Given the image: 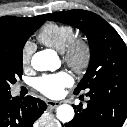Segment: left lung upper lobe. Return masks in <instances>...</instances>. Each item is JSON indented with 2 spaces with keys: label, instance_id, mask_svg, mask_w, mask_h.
<instances>
[{
  "label": "left lung upper lobe",
  "instance_id": "obj_1",
  "mask_svg": "<svg viewBox=\"0 0 127 127\" xmlns=\"http://www.w3.org/2000/svg\"><path fill=\"white\" fill-rule=\"evenodd\" d=\"M49 20L77 27L88 38L91 59L75 94L101 86L127 87V48L111 25L95 13L79 9L54 13Z\"/></svg>",
  "mask_w": 127,
  "mask_h": 127
}]
</instances>
